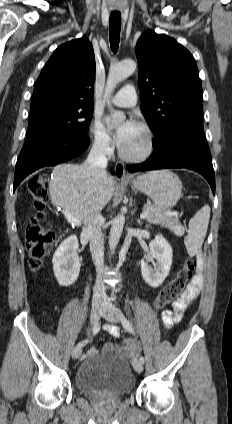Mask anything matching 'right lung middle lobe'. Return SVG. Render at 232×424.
Instances as JSON below:
<instances>
[{"label":"right lung middle lobe","instance_id":"1","mask_svg":"<svg viewBox=\"0 0 232 424\" xmlns=\"http://www.w3.org/2000/svg\"><path fill=\"white\" fill-rule=\"evenodd\" d=\"M93 107L50 103L31 108L27 135L50 131L69 135H86Z\"/></svg>","mask_w":232,"mask_h":424}]
</instances>
